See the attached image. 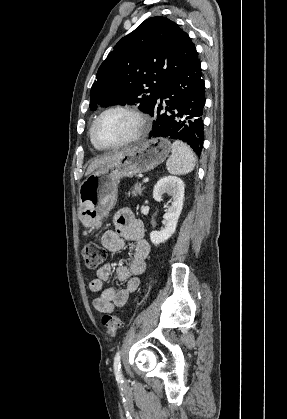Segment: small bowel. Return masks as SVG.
I'll use <instances>...</instances> for the list:
<instances>
[{
  "instance_id": "obj_1",
  "label": "small bowel",
  "mask_w": 287,
  "mask_h": 419,
  "mask_svg": "<svg viewBox=\"0 0 287 419\" xmlns=\"http://www.w3.org/2000/svg\"><path fill=\"white\" fill-rule=\"evenodd\" d=\"M114 229L104 232L102 244L110 251L116 252L124 247L125 241L134 242L135 247L131 254L128 266H118L115 270L117 280L125 281L123 289L105 288L104 283L112 275V266L105 264L97 270L96 277L90 281L89 287L100 295L94 299V307L102 313L111 312L114 307H123L139 285V276L146 268V259L150 253V246L144 239V227L129 209L118 210L113 218Z\"/></svg>"
}]
</instances>
